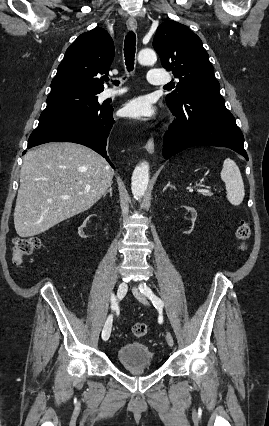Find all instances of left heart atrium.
I'll return each instance as SVG.
<instances>
[{"mask_svg":"<svg viewBox=\"0 0 269 426\" xmlns=\"http://www.w3.org/2000/svg\"><path fill=\"white\" fill-rule=\"evenodd\" d=\"M155 113L150 100L146 97H138L127 102L121 109V114L133 119H148Z\"/></svg>","mask_w":269,"mask_h":426,"instance_id":"obj_1","label":"left heart atrium"}]
</instances>
